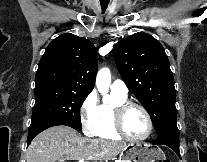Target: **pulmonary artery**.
<instances>
[{"mask_svg": "<svg viewBox=\"0 0 207 162\" xmlns=\"http://www.w3.org/2000/svg\"><path fill=\"white\" fill-rule=\"evenodd\" d=\"M111 92L119 96H127L128 88L122 80H115L111 84Z\"/></svg>", "mask_w": 207, "mask_h": 162, "instance_id": "1", "label": "pulmonary artery"}]
</instances>
